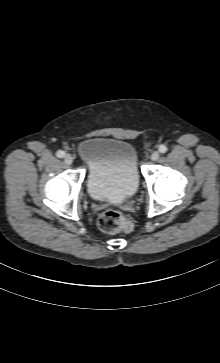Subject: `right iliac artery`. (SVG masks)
<instances>
[{"instance_id":"right-iliac-artery-1","label":"right iliac artery","mask_w":220,"mask_h":363,"mask_svg":"<svg viewBox=\"0 0 220 363\" xmlns=\"http://www.w3.org/2000/svg\"><path fill=\"white\" fill-rule=\"evenodd\" d=\"M64 155H65V152L61 151V150L56 153V156L59 157V158H63Z\"/></svg>"}]
</instances>
